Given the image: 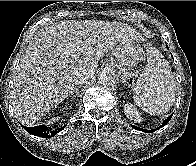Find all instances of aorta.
<instances>
[{"mask_svg": "<svg viewBox=\"0 0 196 166\" xmlns=\"http://www.w3.org/2000/svg\"><path fill=\"white\" fill-rule=\"evenodd\" d=\"M114 79H115V74L109 68H104L99 72L98 80L100 83L104 85L112 84L114 82Z\"/></svg>", "mask_w": 196, "mask_h": 166, "instance_id": "762f6f07", "label": "aorta"}]
</instances>
